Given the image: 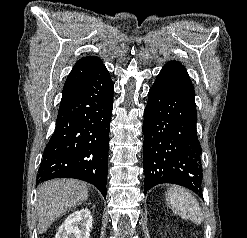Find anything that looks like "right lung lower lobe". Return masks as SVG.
Here are the masks:
<instances>
[{"label":"right lung lower lobe","instance_id":"right-lung-lower-lobe-1","mask_svg":"<svg viewBox=\"0 0 247 238\" xmlns=\"http://www.w3.org/2000/svg\"><path fill=\"white\" fill-rule=\"evenodd\" d=\"M114 85L104 66L63 98L36 183L76 178L96 186L106 198L109 130Z\"/></svg>","mask_w":247,"mask_h":238}]
</instances>
